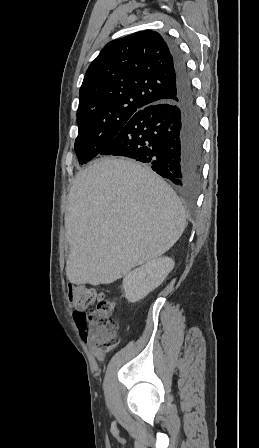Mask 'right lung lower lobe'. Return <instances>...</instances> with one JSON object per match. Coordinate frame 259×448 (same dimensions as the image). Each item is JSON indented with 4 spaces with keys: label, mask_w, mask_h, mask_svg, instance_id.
Instances as JSON below:
<instances>
[{
    "label": "right lung lower lobe",
    "mask_w": 259,
    "mask_h": 448,
    "mask_svg": "<svg viewBox=\"0 0 259 448\" xmlns=\"http://www.w3.org/2000/svg\"><path fill=\"white\" fill-rule=\"evenodd\" d=\"M167 44L176 74L174 95L137 112L99 155L133 158L178 186H194L202 165V130L185 61Z\"/></svg>",
    "instance_id": "obj_1"
}]
</instances>
